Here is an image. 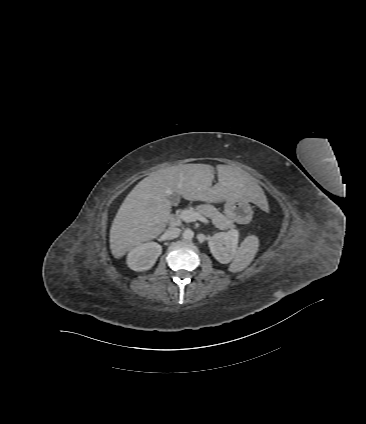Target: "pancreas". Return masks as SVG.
<instances>
[{
    "label": "pancreas",
    "instance_id": "obj_1",
    "mask_svg": "<svg viewBox=\"0 0 366 424\" xmlns=\"http://www.w3.org/2000/svg\"><path fill=\"white\" fill-rule=\"evenodd\" d=\"M188 210H193L199 213L200 215L211 219L215 227L219 228L220 230H233L235 228L232 219L220 213L218 209H216L210 204H203L196 207H190Z\"/></svg>",
    "mask_w": 366,
    "mask_h": 424
}]
</instances>
